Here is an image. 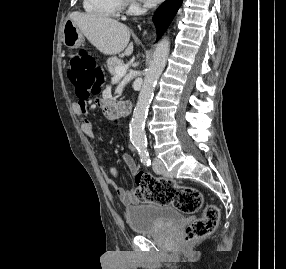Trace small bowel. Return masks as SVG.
<instances>
[{
  "label": "small bowel",
  "instance_id": "small-bowel-1",
  "mask_svg": "<svg viewBox=\"0 0 286 269\" xmlns=\"http://www.w3.org/2000/svg\"><path fill=\"white\" fill-rule=\"evenodd\" d=\"M86 97H80L76 102L73 103L72 109L74 113L78 116L81 123L82 132L90 139L96 141L99 145L96 156L104 170L105 179L107 183L114 188L117 196L124 204H133L138 201L134 190L126 189L120 187L116 184L114 179L124 178V174L115 167H108L105 164L104 156L106 153V146L103 140L97 135L94 130L93 124L89 119V107L86 103ZM96 106H99V110H103L106 114L103 116L104 120H116V111H108L106 106H108V101H96ZM121 162L127 167L130 174L135 175L138 172V167L134 159L128 155L124 154L121 156Z\"/></svg>",
  "mask_w": 286,
  "mask_h": 269
}]
</instances>
